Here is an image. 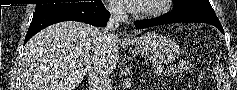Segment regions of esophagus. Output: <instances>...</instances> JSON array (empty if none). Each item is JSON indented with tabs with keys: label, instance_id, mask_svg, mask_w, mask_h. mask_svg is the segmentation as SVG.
Returning a JSON list of instances; mask_svg holds the SVG:
<instances>
[{
	"label": "esophagus",
	"instance_id": "esophagus-1",
	"mask_svg": "<svg viewBox=\"0 0 237 90\" xmlns=\"http://www.w3.org/2000/svg\"><path fill=\"white\" fill-rule=\"evenodd\" d=\"M126 40H129V39H131L132 38V36L131 35H126Z\"/></svg>",
	"mask_w": 237,
	"mask_h": 90
}]
</instances>
